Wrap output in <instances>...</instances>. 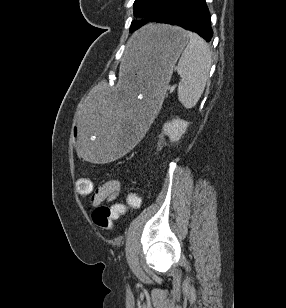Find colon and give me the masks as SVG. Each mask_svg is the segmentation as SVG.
<instances>
[{
  "mask_svg": "<svg viewBox=\"0 0 286 308\" xmlns=\"http://www.w3.org/2000/svg\"><path fill=\"white\" fill-rule=\"evenodd\" d=\"M92 188V182L87 178L78 179L76 182V189L80 194H90ZM140 203L141 201L138 194L129 192L126 196L125 204L96 207L92 211V220L101 229L110 230L113 227L114 220L118 219L130 209H137Z\"/></svg>",
  "mask_w": 286,
  "mask_h": 308,
  "instance_id": "1",
  "label": "colon"
}]
</instances>
